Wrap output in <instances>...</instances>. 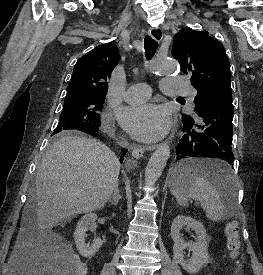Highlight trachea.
Masks as SVG:
<instances>
[{"label":"trachea","instance_id":"1","mask_svg":"<svg viewBox=\"0 0 263 275\" xmlns=\"http://www.w3.org/2000/svg\"><path fill=\"white\" fill-rule=\"evenodd\" d=\"M158 47V42L155 41L151 36L146 35L144 39V48H145V56L149 60L151 59Z\"/></svg>","mask_w":263,"mask_h":275}]
</instances>
